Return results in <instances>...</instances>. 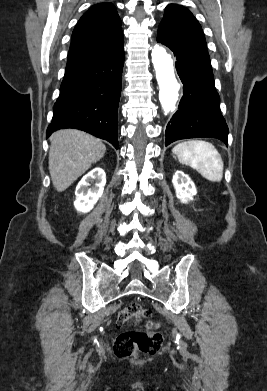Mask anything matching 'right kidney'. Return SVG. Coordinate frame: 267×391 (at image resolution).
Masks as SVG:
<instances>
[{
    "mask_svg": "<svg viewBox=\"0 0 267 391\" xmlns=\"http://www.w3.org/2000/svg\"><path fill=\"white\" fill-rule=\"evenodd\" d=\"M106 184V174L101 168H95L78 183L75 191L74 206L77 211L87 213L93 209L102 196Z\"/></svg>",
    "mask_w": 267,
    "mask_h": 391,
    "instance_id": "1",
    "label": "right kidney"
}]
</instances>
